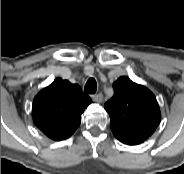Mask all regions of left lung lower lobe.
Wrapping results in <instances>:
<instances>
[{
  "instance_id": "left-lung-lower-lobe-1",
  "label": "left lung lower lobe",
  "mask_w": 184,
  "mask_h": 174,
  "mask_svg": "<svg viewBox=\"0 0 184 174\" xmlns=\"http://www.w3.org/2000/svg\"><path fill=\"white\" fill-rule=\"evenodd\" d=\"M119 141H121L124 144H128V145H137L142 143L141 141L132 139V138H128V137H122L119 135H114Z\"/></svg>"
}]
</instances>
